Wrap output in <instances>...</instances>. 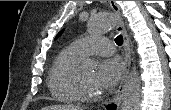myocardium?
<instances>
[{
	"label": "myocardium",
	"mask_w": 171,
	"mask_h": 110,
	"mask_svg": "<svg viewBox=\"0 0 171 110\" xmlns=\"http://www.w3.org/2000/svg\"><path fill=\"white\" fill-rule=\"evenodd\" d=\"M71 84L74 92L81 101L95 102L102 98V94H92L84 87L81 78L79 68H76L72 74Z\"/></svg>",
	"instance_id": "1"
}]
</instances>
